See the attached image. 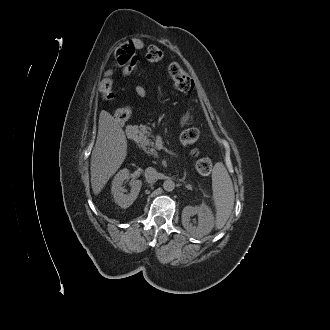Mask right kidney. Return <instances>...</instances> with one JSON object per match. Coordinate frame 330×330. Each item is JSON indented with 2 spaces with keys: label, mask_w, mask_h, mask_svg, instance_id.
I'll return each instance as SVG.
<instances>
[{
  "label": "right kidney",
  "mask_w": 330,
  "mask_h": 330,
  "mask_svg": "<svg viewBox=\"0 0 330 330\" xmlns=\"http://www.w3.org/2000/svg\"><path fill=\"white\" fill-rule=\"evenodd\" d=\"M130 179V173L127 168L120 170L114 177L112 181L111 192L115 203H117L121 208H128L136 200L140 189L142 187V181L131 179L130 186L131 190L129 193H125V189L122 186L125 180Z\"/></svg>",
  "instance_id": "right-kidney-1"
}]
</instances>
